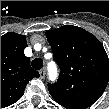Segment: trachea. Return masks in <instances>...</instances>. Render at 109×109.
<instances>
[{"mask_svg":"<svg viewBox=\"0 0 109 109\" xmlns=\"http://www.w3.org/2000/svg\"><path fill=\"white\" fill-rule=\"evenodd\" d=\"M43 66V61L40 58H36L32 61V67L35 70H40Z\"/></svg>","mask_w":109,"mask_h":109,"instance_id":"1","label":"trachea"}]
</instances>
